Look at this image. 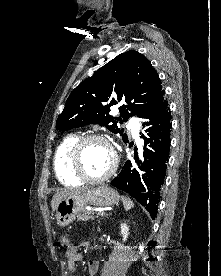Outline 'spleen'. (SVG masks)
<instances>
[{
  "mask_svg": "<svg viewBox=\"0 0 221 276\" xmlns=\"http://www.w3.org/2000/svg\"><path fill=\"white\" fill-rule=\"evenodd\" d=\"M122 202H123V205H124V209L126 211L130 210L132 207H134V203L131 199L127 198V197H124L122 196Z\"/></svg>",
  "mask_w": 221,
  "mask_h": 276,
  "instance_id": "obj_1",
  "label": "spleen"
}]
</instances>
